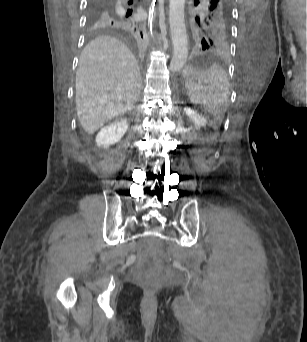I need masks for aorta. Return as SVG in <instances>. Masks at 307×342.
I'll return each mask as SVG.
<instances>
[{"mask_svg":"<svg viewBox=\"0 0 307 342\" xmlns=\"http://www.w3.org/2000/svg\"><path fill=\"white\" fill-rule=\"evenodd\" d=\"M185 0H170L169 26L173 44L172 70H181L188 58V40L184 20Z\"/></svg>","mask_w":307,"mask_h":342,"instance_id":"obj_1","label":"aorta"}]
</instances>
